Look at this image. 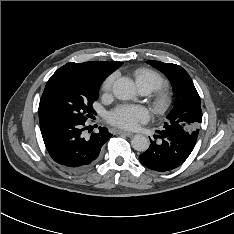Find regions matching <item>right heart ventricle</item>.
<instances>
[{"instance_id":"obj_1","label":"right heart ventricle","mask_w":234,"mask_h":234,"mask_svg":"<svg viewBox=\"0 0 234 234\" xmlns=\"http://www.w3.org/2000/svg\"><path fill=\"white\" fill-rule=\"evenodd\" d=\"M134 76L138 88L145 86L149 88L151 92L163 88L166 85V81L159 73L148 68L136 70Z\"/></svg>"}]
</instances>
